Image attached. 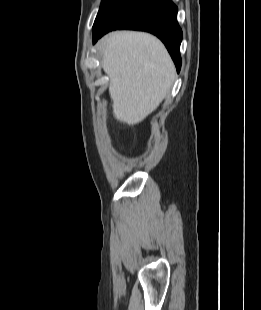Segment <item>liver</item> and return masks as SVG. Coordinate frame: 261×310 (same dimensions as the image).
Listing matches in <instances>:
<instances>
[{
  "instance_id": "liver-1",
  "label": "liver",
  "mask_w": 261,
  "mask_h": 310,
  "mask_svg": "<svg viewBox=\"0 0 261 310\" xmlns=\"http://www.w3.org/2000/svg\"><path fill=\"white\" fill-rule=\"evenodd\" d=\"M102 44L113 114L121 123L138 124L169 93L175 66L162 42L148 33L115 31Z\"/></svg>"
}]
</instances>
